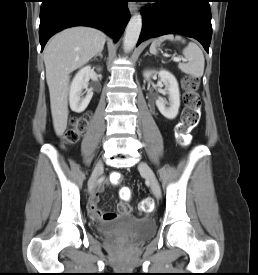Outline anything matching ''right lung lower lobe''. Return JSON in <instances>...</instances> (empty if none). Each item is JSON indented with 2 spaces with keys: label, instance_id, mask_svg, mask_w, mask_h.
Instances as JSON below:
<instances>
[{
  "label": "right lung lower lobe",
  "instance_id": "1",
  "mask_svg": "<svg viewBox=\"0 0 258 275\" xmlns=\"http://www.w3.org/2000/svg\"><path fill=\"white\" fill-rule=\"evenodd\" d=\"M128 0H42L39 39L41 51L55 33L72 26H90L118 41L130 13Z\"/></svg>",
  "mask_w": 258,
  "mask_h": 275
}]
</instances>
